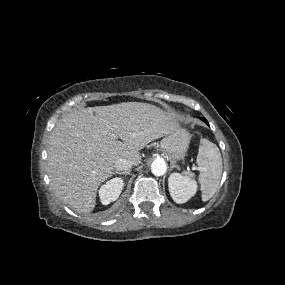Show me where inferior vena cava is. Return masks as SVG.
<instances>
[{
	"mask_svg": "<svg viewBox=\"0 0 285 285\" xmlns=\"http://www.w3.org/2000/svg\"><path fill=\"white\" fill-rule=\"evenodd\" d=\"M134 165L133 161L129 160V159H118L116 162H115V165L114 167L116 168V170H119V171H127L129 170L132 166Z\"/></svg>",
	"mask_w": 285,
	"mask_h": 285,
	"instance_id": "602c4592",
	"label": "inferior vena cava"
}]
</instances>
